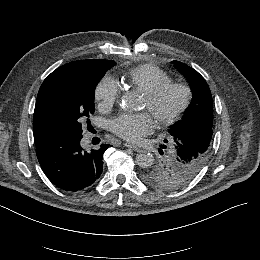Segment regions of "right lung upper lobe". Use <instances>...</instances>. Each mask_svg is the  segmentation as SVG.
Wrapping results in <instances>:
<instances>
[{
  "label": "right lung upper lobe",
  "mask_w": 260,
  "mask_h": 260,
  "mask_svg": "<svg viewBox=\"0 0 260 260\" xmlns=\"http://www.w3.org/2000/svg\"><path fill=\"white\" fill-rule=\"evenodd\" d=\"M115 64L116 63L113 60L89 59V60H78V61L70 62L68 64H65V65L59 67L58 69L53 71L42 83L38 96H37L35 107H37V104H38V101L42 94V91L44 89V86L55 73L61 72V71H76V70H82V69H96V68H100V67H113ZM34 115H35V112H34ZM34 139H35L36 148H40L47 143V141L45 139H43L42 137H40L39 135H37L35 133H34Z\"/></svg>",
  "instance_id": "right-lung-upper-lobe-1"
}]
</instances>
